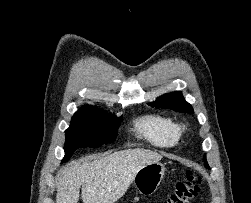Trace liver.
Here are the masks:
<instances>
[{"mask_svg":"<svg viewBox=\"0 0 251 203\" xmlns=\"http://www.w3.org/2000/svg\"><path fill=\"white\" fill-rule=\"evenodd\" d=\"M161 159L157 152L137 148L114 152L92 162H72L58 177L56 203H77L81 186L83 203H115L141 168Z\"/></svg>","mask_w":251,"mask_h":203,"instance_id":"obj_1","label":"liver"}]
</instances>
